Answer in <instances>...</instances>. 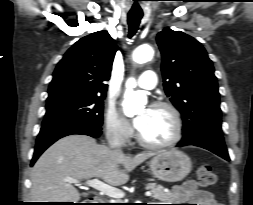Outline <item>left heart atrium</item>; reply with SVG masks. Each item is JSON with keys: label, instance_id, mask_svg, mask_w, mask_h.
<instances>
[{"label": "left heart atrium", "instance_id": "1", "mask_svg": "<svg viewBox=\"0 0 253 205\" xmlns=\"http://www.w3.org/2000/svg\"><path fill=\"white\" fill-rule=\"evenodd\" d=\"M148 110L149 109H146V111L144 113L140 114L139 116H137L134 119V126L136 127V129L139 130L142 127V125L144 124Z\"/></svg>", "mask_w": 253, "mask_h": 205}]
</instances>
